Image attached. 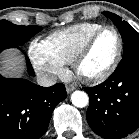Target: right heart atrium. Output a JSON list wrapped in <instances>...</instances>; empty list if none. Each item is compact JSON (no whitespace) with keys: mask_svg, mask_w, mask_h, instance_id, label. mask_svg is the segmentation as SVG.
<instances>
[{"mask_svg":"<svg viewBox=\"0 0 139 139\" xmlns=\"http://www.w3.org/2000/svg\"><path fill=\"white\" fill-rule=\"evenodd\" d=\"M28 52L34 68L44 78L53 80L65 74V64L51 53L44 41H32Z\"/></svg>","mask_w":139,"mask_h":139,"instance_id":"1","label":"right heart atrium"}]
</instances>
